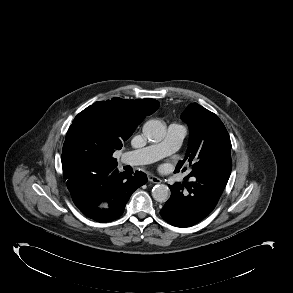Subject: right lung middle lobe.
I'll use <instances>...</instances> for the list:
<instances>
[{
	"mask_svg": "<svg viewBox=\"0 0 293 293\" xmlns=\"http://www.w3.org/2000/svg\"><path fill=\"white\" fill-rule=\"evenodd\" d=\"M105 160L104 153L98 150H93L81 157V164L89 167L92 165L102 164Z\"/></svg>",
	"mask_w": 293,
	"mask_h": 293,
	"instance_id": "right-lung-middle-lobe-1",
	"label": "right lung middle lobe"
}]
</instances>
